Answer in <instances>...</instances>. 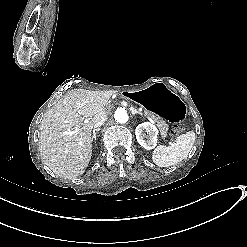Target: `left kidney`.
<instances>
[{
  "label": "left kidney",
  "mask_w": 247,
  "mask_h": 247,
  "mask_svg": "<svg viewBox=\"0 0 247 247\" xmlns=\"http://www.w3.org/2000/svg\"><path fill=\"white\" fill-rule=\"evenodd\" d=\"M144 132H147L148 137ZM135 135L137 142L146 150H151L156 147L158 129L154 124L150 122L139 124L135 129Z\"/></svg>",
  "instance_id": "obj_1"
}]
</instances>
